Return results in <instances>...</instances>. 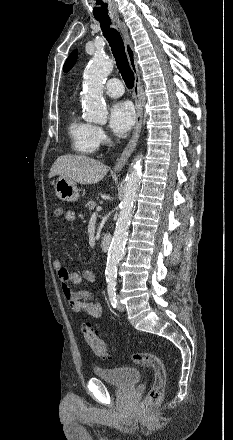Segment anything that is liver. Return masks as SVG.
Wrapping results in <instances>:
<instances>
[{
	"label": "liver",
	"mask_w": 233,
	"mask_h": 440,
	"mask_svg": "<svg viewBox=\"0 0 233 440\" xmlns=\"http://www.w3.org/2000/svg\"><path fill=\"white\" fill-rule=\"evenodd\" d=\"M108 172V166L84 155H63L50 169L49 178L60 175L80 184H95Z\"/></svg>",
	"instance_id": "liver-1"
}]
</instances>
